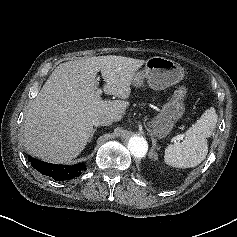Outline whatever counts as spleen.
Instances as JSON below:
<instances>
[{"instance_id":"1","label":"spleen","mask_w":237,"mask_h":237,"mask_svg":"<svg viewBox=\"0 0 237 237\" xmlns=\"http://www.w3.org/2000/svg\"><path fill=\"white\" fill-rule=\"evenodd\" d=\"M218 116L213 107L207 109L185 133L182 142L165 149L164 162L175 168H190L199 165L208 153L207 138L216 127Z\"/></svg>"}]
</instances>
